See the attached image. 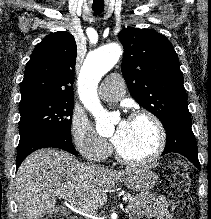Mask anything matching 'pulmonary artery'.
Wrapping results in <instances>:
<instances>
[{"label": "pulmonary artery", "instance_id": "pulmonary-artery-1", "mask_svg": "<svg viewBox=\"0 0 211 219\" xmlns=\"http://www.w3.org/2000/svg\"><path fill=\"white\" fill-rule=\"evenodd\" d=\"M125 94V83L118 73L109 75L101 84L100 96L107 101H115Z\"/></svg>", "mask_w": 211, "mask_h": 219}]
</instances>
